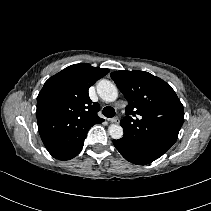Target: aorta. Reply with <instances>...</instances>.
I'll use <instances>...</instances> for the list:
<instances>
[{"label": "aorta", "instance_id": "1", "mask_svg": "<svg viewBox=\"0 0 211 211\" xmlns=\"http://www.w3.org/2000/svg\"><path fill=\"white\" fill-rule=\"evenodd\" d=\"M96 88L98 95L105 102H113L118 97L117 87L109 80L99 81ZM108 132L113 139H120L123 137V128L120 125L111 124L108 127Z\"/></svg>", "mask_w": 211, "mask_h": 211}]
</instances>
